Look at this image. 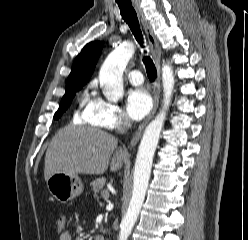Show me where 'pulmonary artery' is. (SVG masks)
Segmentation results:
<instances>
[{
	"label": "pulmonary artery",
	"mask_w": 248,
	"mask_h": 240,
	"mask_svg": "<svg viewBox=\"0 0 248 240\" xmlns=\"http://www.w3.org/2000/svg\"><path fill=\"white\" fill-rule=\"evenodd\" d=\"M127 78L133 85H140L143 83L142 73L138 70H133L127 73Z\"/></svg>",
	"instance_id": "pulmonary-artery-1"
}]
</instances>
